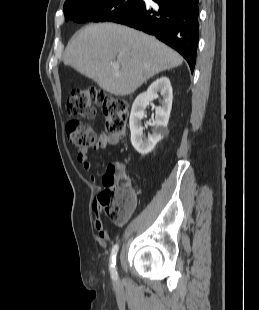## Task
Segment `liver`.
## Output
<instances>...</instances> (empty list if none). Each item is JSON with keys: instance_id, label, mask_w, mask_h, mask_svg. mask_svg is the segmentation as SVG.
I'll list each match as a JSON object with an SVG mask.
<instances>
[{"instance_id": "6515ba94", "label": "liver", "mask_w": 259, "mask_h": 310, "mask_svg": "<svg viewBox=\"0 0 259 310\" xmlns=\"http://www.w3.org/2000/svg\"><path fill=\"white\" fill-rule=\"evenodd\" d=\"M63 62L108 93L125 96L154 75L180 66L183 58L155 37L123 25L99 23L74 35ZM114 62L119 69L113 68Z\"/></svg>"}]
</instances>
